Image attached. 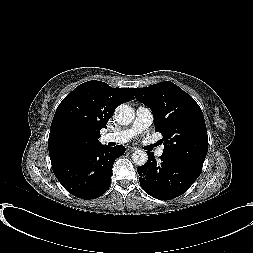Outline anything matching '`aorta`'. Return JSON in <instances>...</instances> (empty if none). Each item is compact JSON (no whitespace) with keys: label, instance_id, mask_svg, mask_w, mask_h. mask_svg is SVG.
I'll use <instances>...</instances> for the list:
<instances>
[{"label":"aorta","instance_id":"obj_1","mask_svg":"<svg viewBox=\"0 0 253 253\" xmlns=\"http://www.w3.org/2000/svg\"><path fill=\"white\" fill-rule=\"evenodd\" d=\"M114 116L120 125H129L135 118V112L132 107L122 104L116 108ZM132 160L136 165L142 166L147 162L148 155L143 150H136L132 154Z\"/></svg>","mask_w":253,"mask_h":253}]
</instances>
